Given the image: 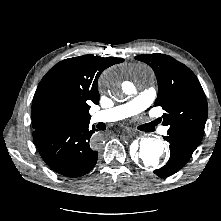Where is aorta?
<instances>
[{
	"label": "aorta",
	"mask_w": 221,
	"mask_h": 221,
	"mask_svg": "<svg viewBox=\"0 0 221 221\" xmlns=\"http://www.w3.org/2000/svg\"><path fill=\"white\" fill-rule=\"evenodd\" d=\"M118 75L117 71L106 73L101 78L103 90L113 93L118 86ZM123 92L132 95L135 92L134 86L130 84L123 89ZM165 149L166 146L162 140L152 137L143 138L139 142L138 151L133 152V157L142 166L155 167L164 161Z\"/></svg>",
	"instance_id": "obj_1"
}]
</instances>
